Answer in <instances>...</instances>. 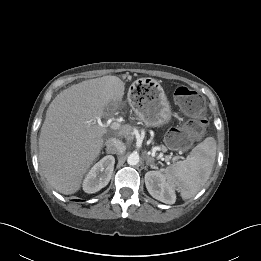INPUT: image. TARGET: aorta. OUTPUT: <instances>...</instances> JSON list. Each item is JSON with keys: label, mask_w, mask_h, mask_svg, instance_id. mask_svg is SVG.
I'll list each match as a JSON object with an SVG mask.
<instances>
[{"label": "aorta", "mask_w": 261, "mask_h": 261, "mask_svg": "<svg viewBox=\"0 0 261 261\" xmlns=\"http://www.w3.org/2000/svg\"><path fill=\"white\" fill-rule=\"evenodd\" d=\"M127 163L131 166L137 165L139 163V155L132 153L127 158Z\"/></svg>", "instance_id": "762f6f07"}]
</instances>
